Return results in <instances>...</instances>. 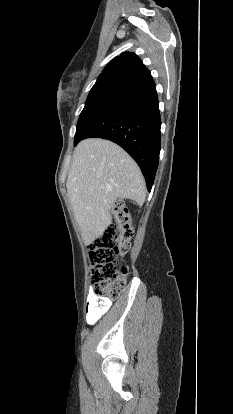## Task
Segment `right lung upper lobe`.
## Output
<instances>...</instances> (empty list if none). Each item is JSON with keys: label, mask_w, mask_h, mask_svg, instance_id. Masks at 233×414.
<instances>
[{"label": "right lung upper lobe", "mask_w": 233, "mask_h": 414, "mask_svg": "<svg viewBox=\"0 0 233 414\" xmlns=\"http://www.w3.org/2000/svg\"><path fill=\"white\" fill-rule=\"evenodd\" d=\"M150 74L140 58L131 52L122 53L115 57L104 68L99 78L106 76H119L125 79L136 80Z\"/></svg>", "instance_id": "1"}]
</instances>
